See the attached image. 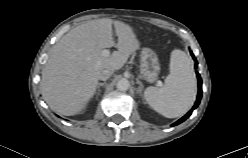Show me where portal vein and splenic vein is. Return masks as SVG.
I'll return each instance as SVG.
<instances>
[{
  "label": "portal vein and splenic vein",
  "mask_w": 248,
  "mask_h": 158,
  "mask_svg": "<svg viewBox=\"0 0 248 158\" xmlns=\"http://www.w3.org/2000/svg\"><path fill=\"white\" fill-rule=\"evenodd\" d=\"M110 54V51L108 50V49H104L103 51H102V55L103 56H108ZM158 85L159 86H162V82H158Z\"/></svg>",
  "instance_id": "obj_1"
}]
</instances>
